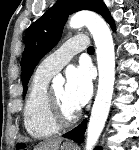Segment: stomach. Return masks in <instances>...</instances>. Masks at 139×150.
<instances>
[{"instance_id": "1", "label": "stomach", "mask_w": 139, "mask_h": 150, "mask_svg": "<svg viewBox=\"0 0 139 150\" xmlns=\"http://www.w3.org/2000/svg\"><path fill=\"white\" fill-rule=\"evenodd\" d=\"M60 150H74V149L71 147L62 146Z\"/></svg>"}]
</instances>
